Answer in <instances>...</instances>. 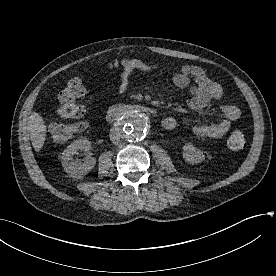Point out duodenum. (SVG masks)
<instances>
[{"label":"duodenum","mask_w":276,"mask_h":276,"mask_svg":"<svg viewBox=\"0 0 276 276\" xmlns=\"http://www.w3.org/2000/svg\"><path fill=\"white\" fill-rule=\"evenodd\" d=\"M132 110H141L146 113H153V110L148 107L139 105H115L111 107L106 113V119L109 122L117 121L122 115Z\"/></svg>","instance_id":"obj_1"}]
</instances>
